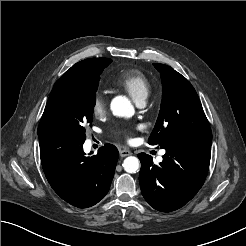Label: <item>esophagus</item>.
<instances>
[{"mask_svg": "<svg viewBox=\"0 0 246 246\" xmlns=\"http://www.w3.org/2000/svg\"><path fill=\"white\" fill-rule=\"evenodd\" d=\"M119 154H120L121 157H126V156L131 155L132 153L128 149H121L119 151Z\"/></svg>", "mask_w": 246, "mask_h": 246, "instance_id": "34e87169", "label": "esophagus"}]
</instances>
